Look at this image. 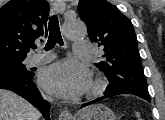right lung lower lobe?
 Masks as SVG:
<instances>
[{"label":"right lung lower lobe","mask_w":165,"mask_h":120,"mask_svg":"<svg viewBox=\"0 0 165 120\" xmlns=\"http://www.w3.org/2000/svg\"><path fill=\"white\" fill-rule=\"evenodd\" d=\"M0 89L11 90L27 99L34 106L40 107L44 118L46 120H50V105L41 98L40 92L38 91L35 83L32 81V78L29 79L0 75Z\"/></svg>","instance_id":"obj_1"}]
</instances>
